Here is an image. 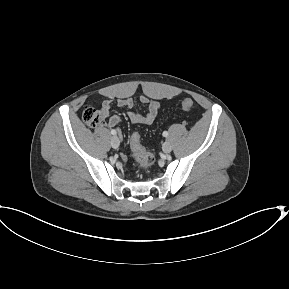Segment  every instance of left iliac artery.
Instances as JSON below:
<instances>
[{"label":"left iliac artery","instance_id":"1","mask_svg":"<svg viewBox=\"0 0 289 289\" xmlns=\"http://www.w3.org/2000/svg\"><path fill=\"white\" fill-rule=\"evenodd\" d=\"M163 136H164V137H167V136H168V132H167V131H164V132H163Z\"/></svg>","mask_w":289,"mask_h":289}]
</instances>
